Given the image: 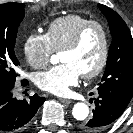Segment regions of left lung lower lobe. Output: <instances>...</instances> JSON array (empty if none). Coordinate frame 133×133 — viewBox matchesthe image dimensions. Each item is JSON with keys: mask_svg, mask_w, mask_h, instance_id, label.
Wrapping results in <instances>:
<instances>
[{"mask_svg": "<svg viewBox=\"0 0 133 133\" xmlns=\"http://www.w3.org/2000/svg\"><path fill=\"white\" fill-rule=\"evenodd\" d=\"M94 99L93 117L82 125L83 133H101L111 125L128 106L130 100L108 91H99Z\"/></svg>", "mask_w": 133, "mask_h": 133, "instance_id": "obj_1", "label": "left lung lower lobe"}]
</instances>
